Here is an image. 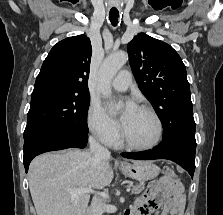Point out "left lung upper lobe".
<instances>
[{
  "instance_id": "5c2ea615",
  "label": "left lung upper lobe",
  "mask_w": 223,
  "mask_h": 215,
  "mask_svg": "<svg viewBox=\"0 0 223 215\" xmlns=\"http://www.w3.org/2000/svg\"><path fill=\"white\" fill-rule=\"evenodd\" d=\"M130 66L140 90L163 126V139L195 136L190 86L185 65L167 43L144 33L127 45Z\"/></svg>"
}]
</instances>
